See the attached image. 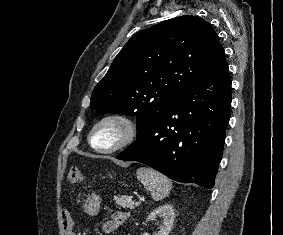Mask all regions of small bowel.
<instances>
[{
	"label": "small bowel",
	"mask_w": 283,
	"mask_h": 235,
	"mask_svg": "<svg viewBox=\"0 0 283 235\" xmlns=\"http://www.w3.org/2000/svg\"><path fill=\"white\" fill-rule=\"evenodd\" d=\"M128 219V214L126 212H116L112 215V218L108 221H106L103 224V232L106 235H111L115 233L120 226ZM63 224L64 227L69 231V235H76L72 231V219L68 212H64L63 215Z\"/></svg>",
	"instance_id": "obj_1"
}]
</instances>
